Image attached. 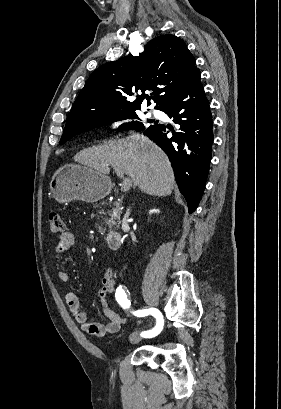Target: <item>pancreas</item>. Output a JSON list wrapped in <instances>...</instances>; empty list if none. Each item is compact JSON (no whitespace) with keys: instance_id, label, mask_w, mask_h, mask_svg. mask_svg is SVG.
I'll return each mask as SVG.
<instances>
[{"instance_id":"obj_1","label":"pancreas","mask_w":281,"mask_h":409,"mask_svg":"<svg viewBox=\"0 0 281 409\" xmlns=\"http://www.w3.org/2000/svg\"><path fill=\"white\" fill-rule=\"evenodd\" d=\"M120 217H121V207L119 205V202H116L114 209H112L111 211L112 221H109V223H111V225H116V227H118L119 223L118 221H116V219H120Z\"/></svg>"}]
</instances>
